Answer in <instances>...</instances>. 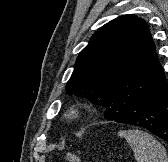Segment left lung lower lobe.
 <instances>
[{"mask_svg":"<svg viewBox=\"0 0 168 162\" xmlns=\"http://www.w3.org/2000/svg\"><path fill=\"white\" fill-rule=\"evenodd\" d=\"M105 108L107 120L143 127L168 142V83L155 48L116 86Z\"/></svg>","mask_w":168,"mask_h":162,"instance_id":"left-lung-lower-lobe-1","label":"left lung lower lobe"}]
</instances>
